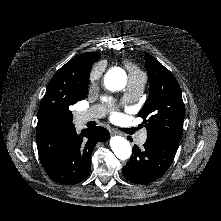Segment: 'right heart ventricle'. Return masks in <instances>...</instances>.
Masks as SVG:
<instances>
[{
  "mask_svg": "<svg viewBox=\"0 0 221 221\" xmlns=\"http://www.w3.org/2000/svg\"><path fill=\"white\" fill-rule=\"evenodd\" d=\"M126 67L130 72V75L135 74V73H139L140 71L138 70V68L134 65H132L131 63H126Z\"/></svg>",
  "mask_w": 221,
  "mask_h": 221,
  "instance_id": "1",
  "label": "right heart ventricle"
}]
</instances>
